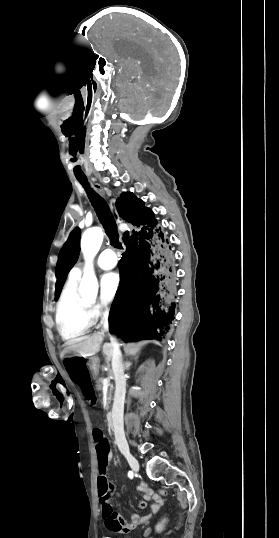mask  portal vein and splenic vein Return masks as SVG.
I'll return each mask as SVG.
<instances>
[{
    "label": "portal vein and splenic vein",
    "instance_id": "portal-vein-and-splenic-vein-1",
    "mask_svg": "<svg viewBox=\"0 0 279 538\" xmlns=\"http://www.w3.org/2000/svg\"><path fill=\"white\" fill-rule=\"evenodd\" d=\"M103 385L105 387H108L110 385V380H108V378H105L104 382H103Z\"/></svg>",
    "mask_w": 279,
    "mask_h": 538
}]
</instances>
